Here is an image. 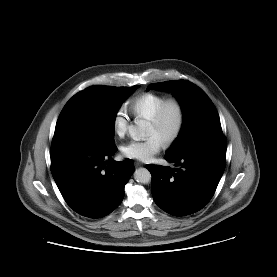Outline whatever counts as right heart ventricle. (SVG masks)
I'll list each match as a JSON object with an SVG mask.
<instances>
[{
	"mask_svg": "<svg viewBox=\"0 0 277 277\" xmlns=\"http://www.w3.org/2000/svg\"><path fill=\"white\" fill-rule=\"evenodd\" d=\"M166 99L163 94L145 92L130 100L129 109L136 118L149 120Z\"/></svg>",
	"mask_w": 277,
	"mask_h": 277,
	"instance_id": "e07e8e85",
	"label": "right heart ventricle"
}]
</instances>
